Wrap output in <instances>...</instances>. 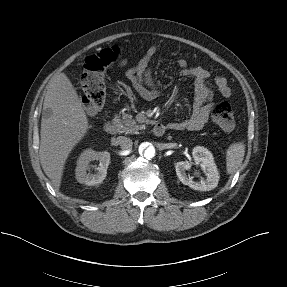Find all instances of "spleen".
<instances>
[{"mask_svg": "<svg viewBox=\"0 0 287 287\" xmlns=\"http://www.w3.org/2000/svg\"><path fill=\"white\" fill-rule=\"evenodd\" d=\"M245 155V144L236 142L231 144L226 151V170L234 174L242 164Z\"/></svg>", "mask_w": 287, "mask_h": 287, "instance_id": "obj_1", "label": "spleen"}]
</instances>
